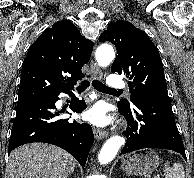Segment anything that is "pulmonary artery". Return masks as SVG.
Listing matches in <instances>:
<instances>
[{
	"label": "pulmonary artery",
	"mask_w": 194,
	"mask_h": 178,
	"mask_svg": "<svg viewBox=\"0 0 194 178\" xmlns=\"http://www.w3.org/2000/svg\"><path fill=\"white\" fill-rule=\"evenodd\" d=\"M107 84L112 89L123 88L125 86L124 80L117 74H111L108 77Z\"/></svg>",
	"instance_id": "pulmonary-artery-1"
}]
</instances>
